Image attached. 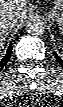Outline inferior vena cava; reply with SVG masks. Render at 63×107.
Returning <instances> with one entry per match:
<instances>
[{"instance_id":"602c4592","label":"inferior vena cava","mask_w":63,"mask_h":107,"mask_svg":"<svg viewBox=\"0 0 63 107\" xmlns=\"http://www.w3.org/2000/svg\"><path fill=\"white\" fill-rule=\"evenodd\" d=\"M17 18L15 15H1L0 17V28L2 30H9L15 26Z\"/></svg>"}]
</instances>
